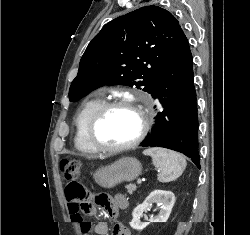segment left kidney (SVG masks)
Masks as SVG:
<instances>
[{
    "mask_svg": "<svg viewBox=\"0 0 250 235\" xmlns=\"http://www.w3.org/2000/svg\"><path fill=\"white\" fill-rule=\"evenodd\" d=\"M175 202V195L171 191L154 190L147 196L144 202L138 205L132 213V221L130 226L138 231L143 230L150 222H166L170 216ZM153 203H157L160 212L157 216H150V222H140V218L144 211L150 210Z\"/></svg>",
    "mask_w": 250,
    "mask_h": 235,
    "instance_id": "5707ae66",
    "label": "left kidney"
}]
</instances>
